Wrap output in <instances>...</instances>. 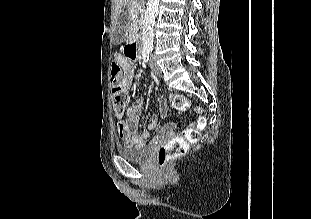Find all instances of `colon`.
<instances>
[{"label":"colon","instance_id":"colon-1","mask_svg":"<svg viewBox=\"0 0 311 219\" xmlns=\"http://www.w3.org/2000/svg\"><path fill=\"white\" fill-rule=\"evenodd\" d=\"M127 55L135 58L137 50L134 48L127 49ZM111 82L113 85V107L117 117H122L127 105V92L125 88V76L121 67L113 63L111 67ZM172 106L179 111L190 108L189 100L180 94H174L171 97ZM206 120L203 115L197 118L194 126L187 128L181 136H175L166 145L162 146L156 155L158 165L165 169L168 164L175 158L183 155L190 144H195L200 137V131L204 128Z\"/></svg>","mask_w":311,"mask_h":219}]
</instances>
